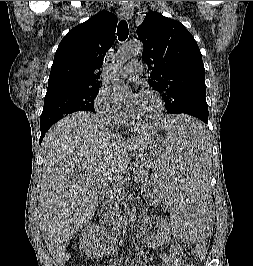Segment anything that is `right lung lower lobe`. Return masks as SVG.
Here are the masks:
<instances>
[{
	"mask_svg": "<svg viewBox=\"0 0 253 266\" xmlns=\"http://www.w3.org/2000/svg\"><path fill=\"white\" fill-rule=\"evenodd\" d=\"M48 129H49V128H42V129H41L40 143H41V141L43 140V138H44L46 132L48 131Z\"/></svg>",
	"mask_w": 253,
	"mask_h": 266,
	"instance_id": "1",
	"label": "right lung lower lobe"
}]
</instances>
